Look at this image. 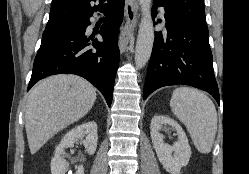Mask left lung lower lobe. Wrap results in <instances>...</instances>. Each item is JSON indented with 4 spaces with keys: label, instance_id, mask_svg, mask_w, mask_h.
I'll return each instance as SVG.
<instances>
[{
    "label": "left lung lower lobe",
    "instance_id": "left-lung-lower-lobe-1",
    "mask_svg": "<svg viewBox=\"0 0 249 174\" xmlns=\"http://www.w3.org/2000/svg\"><path fill=\"white\" fill-rule=\"evenodd\" d=\"M158 7L165 10L167 37L155 33L143 99L160 87L183 84L207 91L219 103L207 25L185 19L158 1L153 4V19Z\"/></svg>",
    "mask_w": 249,
    "mask_h": 174
}]
</instances>
